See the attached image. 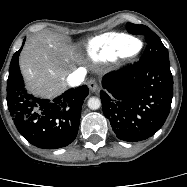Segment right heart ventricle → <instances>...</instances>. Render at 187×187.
<instances>
[{"mask_svg": "<svg viewBox=\"0 0 187 187\" xmlns=\"http://www.w3.org/2000/svg\"><path fill=\"white\" fill-rule=\"evenodd\" d=\"M140 47L137 38L121 33H106L90 40L87 49L93 60L111 62L134 54Z\"/></svg>", "mask_w": 187, "mask_h": 187, "instance_id": "e07e8e85", "label": "right heart ventricle"}]
</instances>
